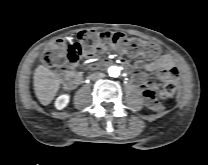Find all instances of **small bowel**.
Instances as JSON below:
<instances>
[{
	"label": "small bowel",
	"mask_w": 208,
	"mask_h": 165,
	"mask_svg": "<svg viewBox=\"0 0 208 165\" xmlns=\"http://www.w3.org/2000/svg\"><path fill=\"white\" fill-rule=\"evenodd\" d=\"M147 59H151L150 63L145 64V69L153 72L154 76L163 81H175L178 77V69L174 64L172 58L169 55H161L156 58L155 56L143 55ZM123 65L127 66L126 61L122 62ZM135 65L137 67L142 66L141 61H136ZM80 69V64L75 61H68L65 65V70L62 72V78L68 84L70 88H75L77 86V80L79 78L78 71ZM134 79L141 83L143 89V97L146 104L155 108V96L156 93L152 88L151 82L146 80L145 73L141 70H136L133 73Z\"/></svg>",
	"instance_id": "obj_1"
}]
</instances>
